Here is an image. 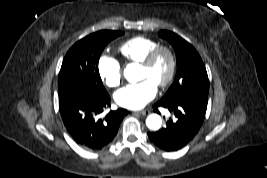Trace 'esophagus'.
I'll list each match as a JSON object with an SVG mask.
<instances>
[{
  "mask_svg": "<svg viewBox=\"0 0 267 178\" xmlns=\"http://www.w3.org/2000/svg\"><path fill=\"white\" fill-rule=\"evenodd\" d=\"M137 113H139L141 115H148L150 113V111L148 109H144V110L138 111Z\"/></svg>",
  "mask_w": 267,
  "mask_h": 178,
  "instance_id": "obj_1",
  "label": "esophagus"
}]
</instances>
